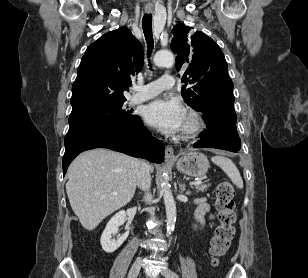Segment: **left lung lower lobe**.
<instances>
[{"mask_svg": "<svg viewBox=\"0 0 308 278\" xmlns=\"http://www.w3.org/2000/svg\"><path fill=\"white\" fill-rule=\"evenodd\" d=\"M233 101H220L203 110L207 129L201 133V140L194 147H210L237 152L241 140L236 129L237 116Z\"/></svg>", "mask_w": 308, "mask_h": 278, "instance_id": "1", "label": "left lung lower lobe"}]
</instances>
